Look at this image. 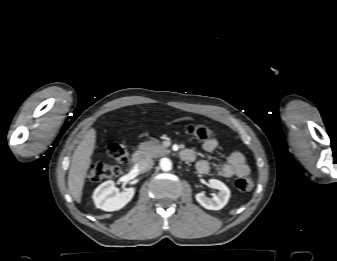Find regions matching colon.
Masks as SVG:
<instances>
[{"mask_svg": "<svg viewBox=\"0 0 337 261\" xmlns=\"http://www.w3.org/2000/svg\"><path fill=\"white\" fill-rule=\"evenodd\" d=\"M186 132L194 138L206 141L214 138V132L207 126L190 124L185 127ZM108 156L116 163L109 165L103 162L93 163L88 172L90 180L98 182L118 176L128 161L129 150L122 143H110L106 146ZM254 182L250 177H240L235 181V187L241 192L250 191Z\"/></svg>", "mask_w": 337, "mask_h": 261, "instance_id": "1", "label": "colon"}]
</instances>
